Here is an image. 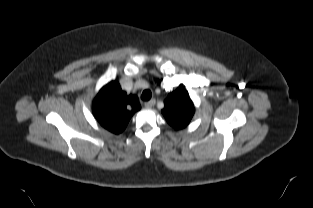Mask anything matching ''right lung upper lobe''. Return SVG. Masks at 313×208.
Segmentation results:
<instances>
[{
    "label": "right lung upper lobe",
    "instance_id": "obj_1",
    "mask_svg": "<svg viewBox=\"0 0 313 208\" xmlns=\"http://www.w3.org/2000/svg\"><path fill=\"white\" fill-rule=\"evenodd\" d=\"M140 110L136 95H127L117 81L104 86L92 104V111L99 124L114 134L121 133L132 115Z\"/></svg>",
    "mask_w": 313,
    "mask_h": 208
}]
</instances>
